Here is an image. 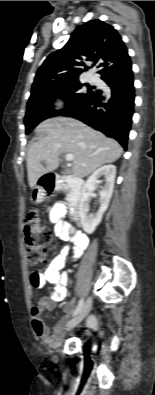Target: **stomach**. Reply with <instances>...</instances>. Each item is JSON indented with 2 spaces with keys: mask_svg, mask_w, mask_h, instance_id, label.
<instances>
[{
  "mask_svg": "<svg viewBox=\"0 0 155 395\" xmlns=\"http://www.w3.org/2000/svg\"><path fill=\"white\" fill-rule=\"evenodd\" d=\"M44 197V191L41 188H35L31 194L32 202H39Z\"/></svg>",
  "mask_w": 155,
  "mask_h": 395,
  "instance_id": "stomach-1",
  "label": "stomach"
}]
</instances>
